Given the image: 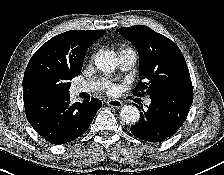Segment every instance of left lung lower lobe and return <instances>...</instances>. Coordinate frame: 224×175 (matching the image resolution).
<instances>
[{
    "instance_id": "obj_1",
    "label": "left lung lower lobe",
    "mask_w": 224,
    "mask_h": 175,
    "mask_svg": "<svg viewBox=\"0 0 224 175\" xmlns=\"http://www.w3.org/2000/svg\"><path fill=\"white\" fill-rule=\"evenodd\" d=\"M147 111L131 127V133L144 141L161 142L172 136L184 123L193 95L166 93L153 95Z\"/></svg>"
}]
</instances>
